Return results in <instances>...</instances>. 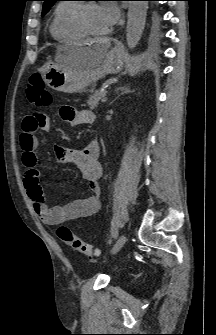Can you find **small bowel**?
Returning a JSON list of instances; mask_svg holds the SVG:
<instances>
[{"label":"small bowel","instance_id":"obj_1","mask_svg":"<svg viewBox=\"0 0 216 335\" xmlns=\"http://www.w3.org/2000/svg\"><path fill=\"white\" fill-rule=\"evenodd\" d=\"M62 119L72 126L90 124L94 121V114L88 110H75L71 106H62L60 109ZM51 129L48 118L43 109L38 113H31L22 123V133L19 138L22 150V161L26 167L24 184L33 207L46 225H59L67 221L88 217L96 213L100 208V183L102 165L99 161L100 146L96 139H92L81 150L70 147L55 146L57 157L63 162L77 166L83 177L91 185V193L88 197L78 199L62 206H49L39 181L37 131L48 132Z\"/></svg>","mask_w":216,"mask_h":335}]
</instances>
